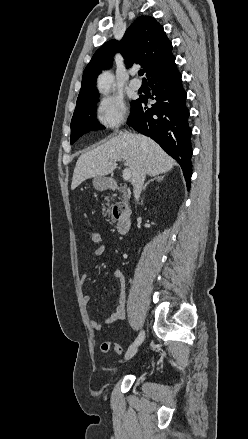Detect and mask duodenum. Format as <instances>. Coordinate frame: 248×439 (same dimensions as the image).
<instances>
[{
  "instance_id": "1",
  "label": "duodenum",
  "mask_w": 248,
  "mask_h": 439,
  "mask_svg": "<svg viewBox=\"0 0 248 439\" xmlns=\"http://www.w3.org/2000/svg\"><path fill=\"white\" fill-rule=\"evenodd\" d=\"M112 190H119V185L116 182H112L109 185ZM113 215L116 218V230L119 234L126 233L131 225L130 214L127 208L122 204H117L113 207Z\"/></svg>"
}]
</instances>
